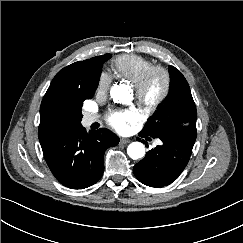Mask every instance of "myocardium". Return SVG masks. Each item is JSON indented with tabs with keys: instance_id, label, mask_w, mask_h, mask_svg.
<instances>
[{
	"instance_id": "obj_1",
	"label": "myocardium",
	"mask_w": 243,
	"mask_h": 243,
	"mask_svg": "<svg viewBox=\"0 0 243 243\" xmlns=\"http://www.w3.org/2000/svg\"><path fill=\"white\" fill-rule=\"evenodd\" d=\"M160 74L163 78V85L160 92L151 97L149 88L152 78ZM172 78L169 70L161 65L150 67L134 85L135 100L139 108L145 113L150 114L160 107L170 94Z\"/></svg>"
}]
</instances>
